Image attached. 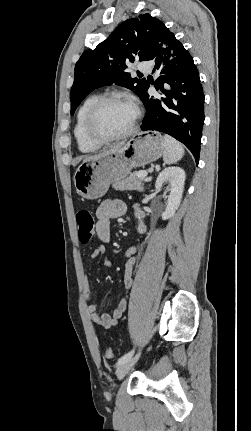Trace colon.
Returning a JSON list of instances; mask_svg holds the SVG:
<instances>
[{
  "label": "colon",
  "instance_id": "obj_1",
  "mask_svg": "<svg viewBox=\"0 0 251 431\" xmlns=\"http://www.w3.org/2000/svg\"><path fill=\"white\" fill-rule=\"evenodd\" d=\"M76 222L78 226V237L81 244H87L90 242L95 234V220L89 209H80L76 214ZM105 357L107 359H113L114 353L111 348L105 349Z\"/></svg>",
  "mask_w": 251,
  "mask_h": 431
}]
</instances>
